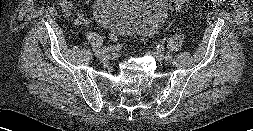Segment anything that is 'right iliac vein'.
<instances>
[{
	"instance_id": "63e3f726",
	"label": "right iliac vein",
	"mask_w": 253,
	"mask_h": 131,
	"mask_svg": "<svg viewBox=\"0 0 253 131\" xmlns=\"http://www.w3.org/2000/svg\"><path fill=\"white\" fill-rule=\"evenodd\" d=\"M97 57H99L101 61L106 60V57L104 55H100V56H97Z\"/></svg>"
}]
</instances>
